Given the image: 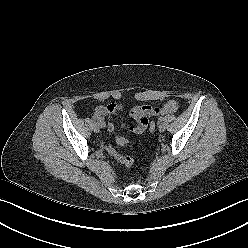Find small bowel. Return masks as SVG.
Masks as SVG:
<instances>
[{
    "label": "small bowel",
    "instance_id": "small-bowel-1",
    "mask_svg": "<svg viewBox=\"0 0 248 248\" xmlns=\"http://www.w3.org/2000/svg\"><path fill=\"white\" fill-rule=\"evenodd\" d=\"M119 110H121V107L115 103H111L107 106H98L95 110L94 116L101 127L106 126L108 131L112 132L114 130V125L110 121L106 124L105 118L110 117ZM176 110L177 103L175 101H169L162 107L149 105L135 107L130 111V116L136 121V125H126L125 122H123L122 126L129 132L142 134L149 125L150 117L175 112Z\"/></svg>",
    "mask_w": 248,
    "mask_h": 248
}]
</instances>
